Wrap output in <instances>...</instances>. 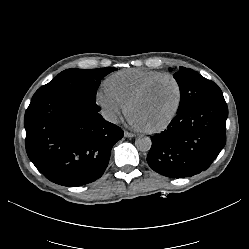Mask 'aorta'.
<instances>
[{
	"instance_id": "aorta-1",
	"label": "aorta",
	"mask_w": 249,
	"mask_h": 249,
	"mask_svg": "<svg viewBox=\"0 0 249 249\" xmlns=\"http://www.w3.org/2000/svg\"><path fill=\"white\" fill-rule=\"evenodd\" d=\"M135 146L138 150L142 152H147L151 149L152 141L150 137L147 136H139L135 140Z\"/></svg>"
}]
</instances>
